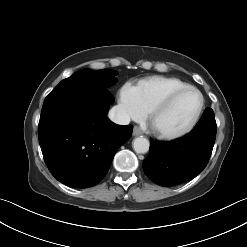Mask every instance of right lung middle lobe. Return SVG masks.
<instances>
[{"instance_id":"dd1d6c3e","label":"right lung middle lobe","mask_w":247,"mask_h":247,"mask_svg":"<svg viewBox=\"0 0 247 247\" xmlns=\"http://www.w3.org/2000/svg\"><path fill=\"white\" fill-rule=\"evenodd\" d=\"M117 73L111 70L92 71L83 69L62 80L54 90L76 86H97L106 88L115 83Z\"/></svg>"}]
</instances>
